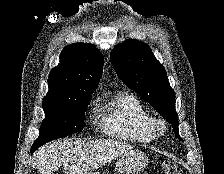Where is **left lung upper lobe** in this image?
Instances as JSON below:
<instances>
[{
    "instance_id": "left-lung-upper-lobe-1",
    "label": "left lung upper lobe",
    "mask_w": 224,
    "mask_h": 174,
    "mask_svg": "<svg viewBox=\"0 0 224 174\" xmlns=\"http://www.w3.org/2000/svg\"><path fill=\"white\" fill-rule=\"evenodd\" d=\"M113 67L124 84L148 101L179 136L175 93L170 87L166 71L151 49L136 40H127L111 52Z\"/></svg>"
}]
</instances>
